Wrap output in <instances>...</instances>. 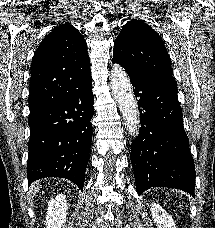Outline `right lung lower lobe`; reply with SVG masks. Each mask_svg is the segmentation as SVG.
Segmentation results:
<instances>
[{
	"label": "right lung lower lobe",
	"mask_w": 215,
	"mask_h": 228,
	"mask_svg": "<svg viewBox=\"0 0 215 228\" xmlns=\"http://www.w3.org/2000/svg\"><path fill=\"white\" fill-rule=\"evenodd\" d=\"M91 83V75L70 83L63 100L28 119V185L44 177H61L83 189L92 141Z\"/></svg>",
	"instance_id": "1"
}]
</instances>
